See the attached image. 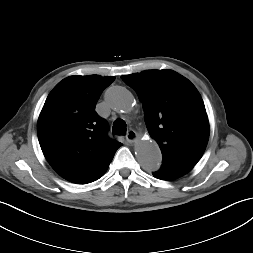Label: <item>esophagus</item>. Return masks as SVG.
I'll list each match as a JSON object with an SVG mask.
<instances>
[{
  "label": "esophagus",
  "mask_w": 253,
  "mask_h": 253,
  "mask_svg": "<svg viewBox=\"0 0 253 253\" xmlns=\"http://www.w3.org/2000/svg\"><path fill=\"white\" fill-rule=\"evenodd\" d=\"M137 133L133 129H129L126 134V139L129 143H134L137 140Z\"/></svg>",
  "instance_id": "1"
}]
</instances>
